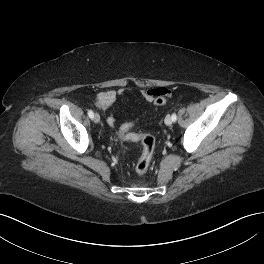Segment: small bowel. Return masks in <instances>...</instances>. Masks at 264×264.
<instances>
[{
	"instance_id": "small-bowel-1",
	"label": "small bowel",
	"mask_w": 264,
	"mask_h": 264,
	"mask_svg": "<svg viewBox=\"0 0 264 264\" xmlns=\"http://www.w3.org/2000/svg\"><path fill=\"white\" fill-rule=\"evenodd\" d=\"M127 89H118V90H108V91H103L97 94L95 98L96 105L102 109L106 110L110 107H112L119 99L121 95H123ZM172 95V92L170 89L166 87H157V88H152V89H147V90H142L141 91V96L148 102H153L159 98V97H170ZM115 122V119L113 116H109L107 118V123L109 125H113Z\"/></svg>"
}]
</instances>
